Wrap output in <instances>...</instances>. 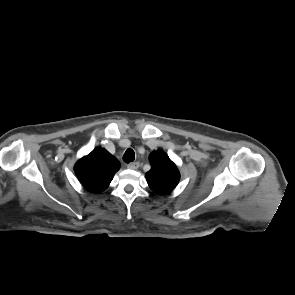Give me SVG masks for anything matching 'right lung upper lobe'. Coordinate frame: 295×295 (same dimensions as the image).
<instances>
[{
  "instance_id": "1",
  "label": "right lung upper lobe",
  "mask_w": 295,
  "mask_h": 295,
  "mask_svg": "<svg viewBox=\"0 0 295 295\" xmlns=\"http://www.w3.org/2000/svg\"><path fill=\"white\" fill-rule=\"evenodd\" d=\"M119 168V161L102 147L82 157L74 166L80 183L92 193L107 189Z\"/></svg>"
}]
</instances>
